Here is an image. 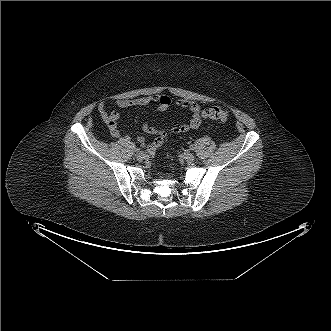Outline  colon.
<instances>
[{"instance_id":"1","label":"colon","mask_w":331,"mask_h":331,"mask_svg":"<svg viewBox=\"0 0 331 331\" xmlns=\"http://www.w3.org/2000/svg\"><path fill=\"white\" fill-rule=\"evenodd\" d=\"M205 117L211 120L225 123L228 120V111L221 106H211L204 112Z\"/></svg>"}]
</instances>
